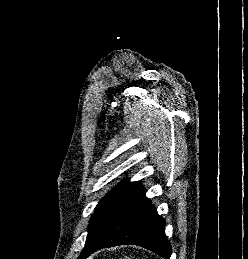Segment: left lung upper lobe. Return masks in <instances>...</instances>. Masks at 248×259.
Returning <instances> with one entry per match:
<instances>
[{
	"label": "left lung upper lobe",
	"mask_w": 248,
	"mask_h": 259,
	"mask_svg": "<svg viewBox=\"0 0 248 259\" xmlns=\"http://www.w3.org/2000/svg\"><path fill=\"white\" fill-rule=\"evenodd\" d=\"M144 196L145 191L140 187L139 182L125 180L115 187L97 204L90 219L87 238L89 239L101 226L129 204Z\"/></svg>",
	"instance_id": "left-lung-upper-lobe-1"
}]
</instances>
